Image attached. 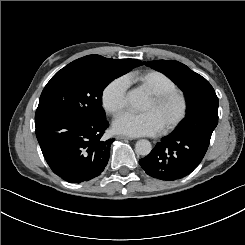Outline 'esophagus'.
<instances>
[{"label":"esophagus","mask_w":245,"mask_h":245,"mask_svg":"<svg viewBox=\"0 0 245 245\" xmlns=\"http://www.w3.org/2000/svg\"><path fill=\"white\" fill-rule=\"evenodd\" d=\"M116 139H123V140H134L135 138L130 137V136H124V135H117Z\"/></svg>","instance_id":"esophagus-1"}]
</instances>
